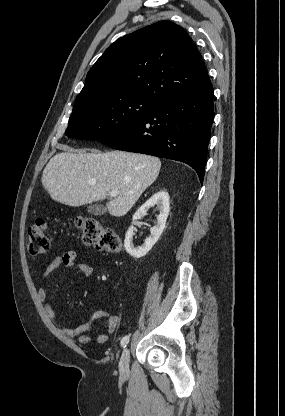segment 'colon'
I'll use <instances>...</instances> for the list:
<instances>
[{"instance_id": "obj_1", "label": "colon", "mask_w": 285, "mask_h": 416, "mask_svg": "<svg viewBox=\"0 0 285 416\" xmlns=\"http://www.w3.org/2000/svg\"><path fill=\"white\" fill-rule=\"evenodd\" d=\"M75 226L79 229L82 240L87 245H93L97 249L109 252L120 253L122 241L116 231L104 226L97 218L78 217L75 219ZM51 246V238L43 220H38L28 229V250L31 256L35 257L45 254Z\"/></svg>"}]
</instances>
